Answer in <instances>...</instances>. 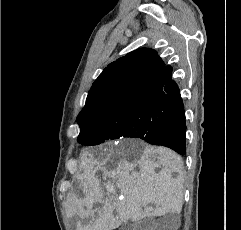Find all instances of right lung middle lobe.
<instances>
[{
  "label": "right lung middle lobe",
  "instance_id": "right-lung-middle-lobe-1",
  "mask_svg": "<svg viewBox=\"0 0 241 230\" xmlns=\"http://www.w3.org/2000/svg\"><path fill=\"white\" fill-rule=\"evenodd\" d=\"M150 105L151 103L129 110H113L100 120L78 123L81 128L78 142L86 146L99 145L109 140L130 137L123 136L125 132L131 134L142 131L150 124V120L144 117L145 110Z\"/></svg>",
  "mask_w": 241,
  "mask_h": 230
}]
</instances>
